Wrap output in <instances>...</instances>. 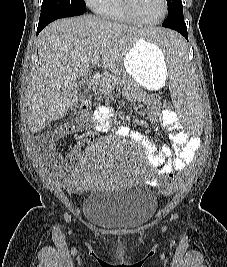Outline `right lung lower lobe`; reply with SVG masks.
I'll return each mask as SVG.
<instances>
[{
  "label": "right lung lower lobe",
  "instance_id": "obj_1",
  "mask_svg": "<svg viewBox=\"0 0 227 267\" xmlns=\"http://www.w3.org/2000/svg\"><path fill=\"white\" fill-rule=\"evenodd\" d=\"M88 12L87 10L82 11H61V12H45L40 14L39 24L37 28V35L39 32L47 26L49 23L59 18L72 17L82 15Z\"/></svg>",
  "mask_w": 227,
  "mask_h": 267
}]
</instances>
